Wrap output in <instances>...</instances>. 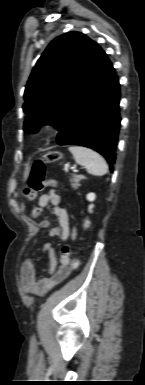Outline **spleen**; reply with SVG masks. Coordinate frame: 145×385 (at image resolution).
<instances>
[{"label": "spleen", "mask_w": 145, "mask_h": 385, "mask_svg": "<svg viewBox=\"0 0 145 385\" xmlns=\"http://www.w3.org/2000/svg\"><path fill=\"white\" fill-rule=\"evenodd\" d=\"M69 151L72 153L75 161L83 165L88 173L96 176L105 175L108 172V165L104 158L89 148L83 146H70Z\"/></svg>", "instance_id": "3e777b00"}]
</instances>
